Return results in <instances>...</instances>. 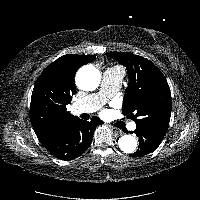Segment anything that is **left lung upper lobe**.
I'll list each match as a JSON object with an SVG mask.
<instances>
[{
    "instance_id": "obj_1",
    "label": "left lung upper lobe",
    "mask_w": 200,
    "mask_h": 200,
    "mask_svg": "<svg viewBox=\"0 0 200 200\" xmlns=\"http://www.w3.org/2000/svg\"><path fill=\"white\" fill-rule=\"evenodd\" d=\"M128 70L129 83L122 113L136 125L165 134L170 121L172 102L168 83L161 71L144 57L129 52L109 53Z\"/></svg>"
}]
</instances>
